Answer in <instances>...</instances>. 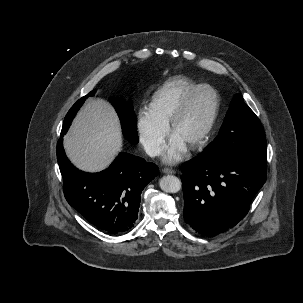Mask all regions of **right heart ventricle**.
Wrapping results in <instances>:
<instances>
[{"instance_id":"right-heart-ventricle-1","label":"right heart ventricle","mask_w":303,"mask_h":303,"mask_svg":"<svg viewBox=\"0 0 303 303\" xmlns=\"http://www.w3.org/2000/svg\"><path fill=\"white\" fill-rule=\"evenodd\" d=\"M199 85L186 76L167 79L153 93L149 104L150 112L158 121L167 125L185 96Z\"/></svg>"}]
</instances>
